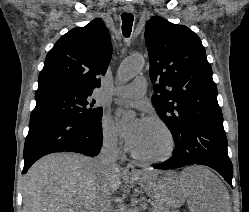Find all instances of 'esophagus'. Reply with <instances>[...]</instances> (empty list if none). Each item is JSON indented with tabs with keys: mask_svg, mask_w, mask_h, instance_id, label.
Listing matches in <instances>:
<instances>
[{
	"mask_svg": "<svg viewBox=\"0 0 249 212\" xmlns=\"http://www.w3.org/2000/svg\"><path fill=\"white\" fill-rule=\"evenodd\" d=\"M124 11L125 12H133L134 9L131 8V7H125L124 8ZM124 172L125 173H128L130 175H142V173L140 171H138L135 166L131 163L127 164L125 169H124Z\"/></svg>",
	"mask_w": 249,
	"mask_h": 212,
	"instance_id": "1",
	"label": "esophagus"
}]
</instances>
